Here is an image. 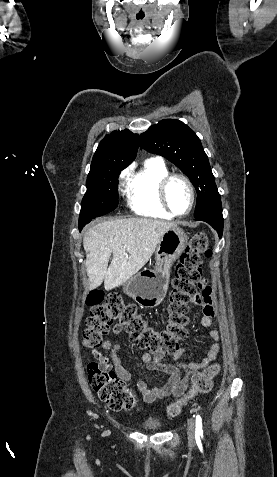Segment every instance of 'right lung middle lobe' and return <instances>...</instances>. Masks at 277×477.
<instances>
[{
  "mask_svg": "<svg viewBox=\"0 0 277 477\" xmlns=\"http://www.w3.org/2000/svg\"><path fill=\"white\" fill-rule=\"evenodd\" d=\"M125 167H114L89 173L87 191L81 203L79 230L93 218L113 211L118 206V177Z\"/></svg>",
  "mask_w": 277,
  "mask_h": 477,
  "instance_id": "obj_1",
  "label": "right lung middle lobe"
}]
</instances>
